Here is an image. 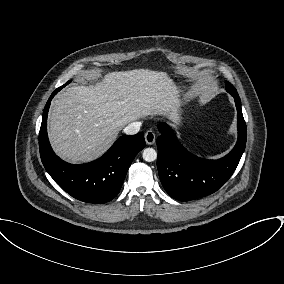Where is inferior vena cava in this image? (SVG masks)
Wrapping results in <instances>:
<instances>
[{
    "label": "inferior vena cava",
    "instance_id": "obj_1",
    "mask_svg": "<svg viewBox=\"0 0 284 284\" xmlns=\"http://www.w3.org/2000/svg\"><path fill=\"white\" fill-rule=\"evenodd\" d=\"M140 126V122H132L124 128V133L127 135H134L139 132Z\"/></svg>",
    "mask_w": 284,
    "mask_h": 284
}]
</instances>
